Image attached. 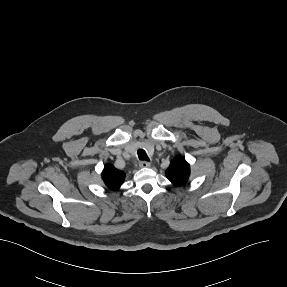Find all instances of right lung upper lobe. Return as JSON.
<instances>
[{
  "mask_svg": "<svg viewBox=\"0 0 287 287\" xmlns=\"http://www.w3.org/2000/svg\"><path fill=\"white\" fill-rule=\"evenodd\" d=\"M102 179L108 188L117 190L125 180V173L108 164L104 167Z\"/></svg>",
  "mask_w": 287,
  "mask_h": 287,
  "instance_id": "cb5924a9",
  "label": "right lung upper lobe"
}]
</instances>
